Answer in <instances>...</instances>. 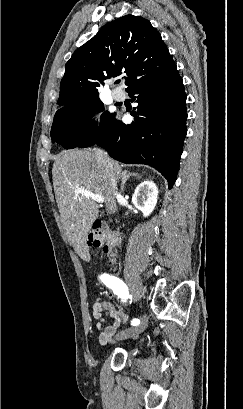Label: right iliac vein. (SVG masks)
<instances>
[{"instance_id": "1", "label": "right iliac vein", "mask_w": 243, "mask_h": 409, "mask_svg": "<svg viewBox=\"0 0 243 409\" xmlns=\"http://www.w3.org/2000/svg\"><path fill=\"white\" fill-rule=\"evenodd\" d=\"M148 318L146 316L143 317L141 323L135 327L125 329L117 334V339L124 340L131 337L138 336L141 334L147 327Z\"/></svg>"}]
</instances>
